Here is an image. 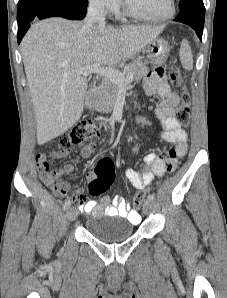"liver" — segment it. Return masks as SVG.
<instances>
[{
	"mask_svg": "<svg viewBox=\"0 0 227 298\" xmlns=\"http://www.w3.org/2000/svg\"><path fill=\"white\" fill-rule=\"evenodd\" d=\"M83 22L54 17L31 26L21 53L42 145L80 119L88 83L78 71L88 65H116L132 59L157 38L163 26H105L83 29Z\"/></svg>",
	"mask_w": 227,
	"mask_h": 298,
	"instance_id": "1",
	"label": "liver"
}]
</instances>
